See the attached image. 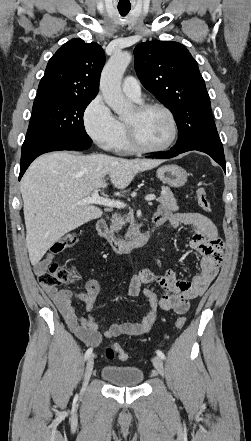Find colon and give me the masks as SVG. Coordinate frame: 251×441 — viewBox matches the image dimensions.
Wrapping results in <instances>:
<instances>
[{"instance_id":"colon-1","label":"colon","mask_w":251,"mask_h":441,"mask_svg":"<svg viewBox=\"0 0 251 441\" xmlns=\"http://www.w3.org/2000/svg\"><path fill=\"white\" fill-rule=\"evenodd\" d=\"M197 198L200 207L206 211H212V205L210 199L203 188H198L196 190ZM77 241V234L74 232H69L63 235L58 241H56L51 247L53 253H60L64 250L73 246ZM38 281L42 286L50 285L56 286L58 284H63L72 281L77 278V274L73 269H67L53 263L49 268L45 270L38 271ZM186 324L185 317H179L176 321V328L182 329ZM105 354L107 358L113 359L118 357L120 360H127L128 354L116 343H109L105 348Z\"/></svg>"}]
</instances>
